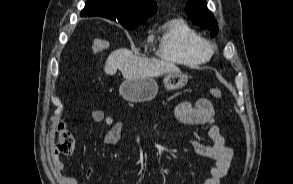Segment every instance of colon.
Segmentation results:
<instances>
[{"mask_svg": "<svg viewBox=\"0 0 293 184\" xmlns=\"http://www.w3.org/2000/svg\"><path fill=\"white\" fill-rule=\"evenodd\" d=\"M108 47V41L105 38H96L90 47L92 53H99L104 51ZM209 94L215 99L222 98V91L217 87H209ZM74 139L69 127L66 123L59 124L57 129V138L54 145V154L56 156H68L73 152Z\"/></svg>", "mask_w": 293, "mask_h": 184, "instance_id": "colon-1", "label": "colon"}]
</instances>
